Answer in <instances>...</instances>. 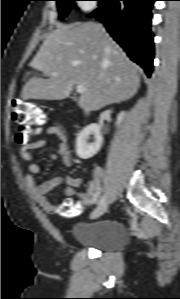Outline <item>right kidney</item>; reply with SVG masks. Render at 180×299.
I'll list each match as a JSON object with an SVG mask.
<instances>
[{
  "label": "right kidney",
  "mask_w": 180,
  "mask_h": 299,
  "mask_svg": "<svg viewBox=\"0 0 180 299\" xmlns=\"http://www.w3.org/2000/svg\"><path fill=\"white\" fill-rule=\"evenodd\" d=\"M124 112H121L117 117V124L123 119ZM93 135V142H89L90 136ZM102 136L100 127L97 124H90L86 126L77 136L76 139V153L82 159H89L93 157L100 150L102 145Z\"/></svg>",
  "instance_id": "obj_1"
}]
</instances>
